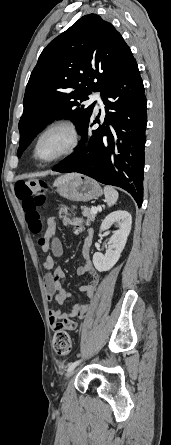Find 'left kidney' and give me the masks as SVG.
<instances>
[{
    "label": "left kidney",
    "instance_id": "1",
    "mask_svg": "<svg viewBox=\"0 0 171 445\" xmlns=\"http://www.w3.org/2000/svg\"><path fill=\"white\" fill-rule=\"evenodd\" d=\"M113 224L119 229L110 237L105 255L100 252L93 255V264L99 272L110 270L119 260L131 231L132 217L124 210L112 212L103 220L100 233L107 231Z\"/></svg>",
    "mask_w": 171,
    "mask_h": 445
}]
</instances>
